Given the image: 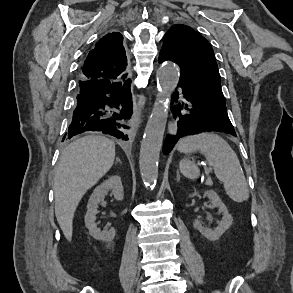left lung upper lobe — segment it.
<instances>
[{
  "instance_id": "5c2ea615",
  "label": "left lung upper lobe",
  "mask_w": 293,
  "mask_h": 293,
  "mask_svg": "<svg viewBox=\"0 0 293 293\" xmlns=\"http://www.w3.org/2000/svg\"><path fill=\"white\" fill-rule=\"evenodd\" d=\"M159 58L180 66L179 85L207 99L225 102L213 49L198 32L182 24L172 26L164 35Z\"/></svg>"
}]
</instances>
